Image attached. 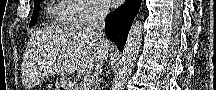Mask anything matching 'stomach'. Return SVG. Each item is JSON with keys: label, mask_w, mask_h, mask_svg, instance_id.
I'll use <instances>...</instances> for the list:
<instances>
[{"label": "stomach", "mask_w": 216, "mask_h": 90, "mask_svg": "<svg viewBox=\"0 0 216 90\" xmlns=\"http://www.w3.org/2000/svg\"><path fill=\"white\" fill-rule=\"evenodd\" d=\"M55 87V90H71V83L66 77L60 76L56 80Z\"/></svg>", "instance_id": "0dacf381"}]
</instances>
